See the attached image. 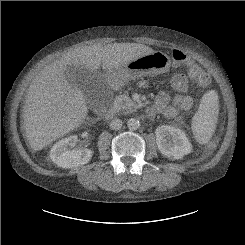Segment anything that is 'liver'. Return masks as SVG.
I'll return each mask as SVG.
<instances>
[{
  "mask_svg": "<svg viewBox=\"0 0 245 245\" xmlns=\"http://www.w3.org/2000/svg\"><path fill=\"white\" fill-rule=\"evenodd\" d=\"M137 43L94 44L67 52L47 65L33 79L24 105L25 136L30 146L39 151L56 139L80 127L88 113L83 93L67 80L68 66H83L97 71L100 66L110 71L153 53Z\"/></svg>",
  "mask_w": 245,
  "mask_h": 245,
  "instance_id": "1",
  "label": "liver"
}]
</instances>
